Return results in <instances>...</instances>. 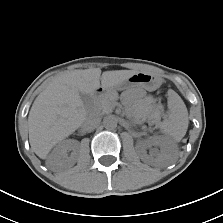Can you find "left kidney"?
<instances>
[{"instance_id": "1", "label": "left kidney", "mask_w": 223, "mask_h": 223, "mask_svg": "<svg viewBox=\"0 0 223 223\" xmlns=\"http://www.w3.org/2000/svg\"><path fill=\"white\" fill-rule=\"evenodd\" d=\"M153 145L159 149H152L149 154L147 148ZM137 150L141 160L155 166H169L177 159V146L168 138L155 136L149 141H142L137 144Z\"/></svg>"}]
</instances>
